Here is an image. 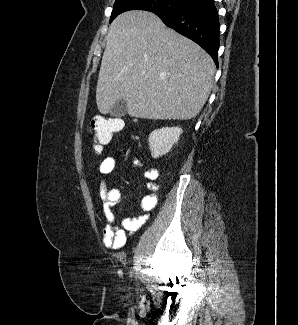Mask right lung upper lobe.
<instances>
[{
    "label": "right lung upper lobe",
    "instance_id": "cb5924a9",
    "mask_svg": "<svg viewBox=\"0 0 298 325\" xmlns=\"http://www.w3.org/2000/svg\"><path fill=\"white\" fill-rule=\"evenodd\" d=\"M164 12V11H158L157 13Z\"/></svg>",
    "mask_w": 298,
    "mask_h": 325
}]
</instances>
